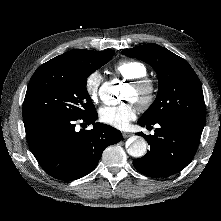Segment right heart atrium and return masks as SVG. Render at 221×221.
<instances>
[{
	"label": "right heart atrium",
	"mask_w": 221,
	"mask_h": 221,
	"mask_svg": "<svg viewBox=\"0 0 221 221\" xmlns=\"http://www.w3.org/2000/svg\"><path fill=\"white\" fill-rule=\"evenodd\" d=\"M103 82V76L99 71H92L85 79V91L92 101H97L99 98L100 88Z\"/></svg>",
	"instance_id": "obj_1"
}]
</instances>
